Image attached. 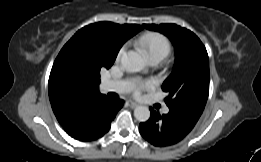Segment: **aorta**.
I'll list each match as a JSON object with an SVG mask.
<instances>
[{"label": "aorta", "mask_w": 261, "mask_h": 162, "mask_svg": "<svg viewBox=\"0 0 261 162\" xmlns=\"http://www.w3.org/2000/svg\"><path fill=\"white\" fill-rule=\"evenodd\" d=\"M122 67L128 72H138L145 67L143 56L136 51H129L121 58ZM135 118L140 122H146L150 118V110L147 106H138L134 110Z\"/></svg>", "instance_id": "aorta-1"}]
</instances>
